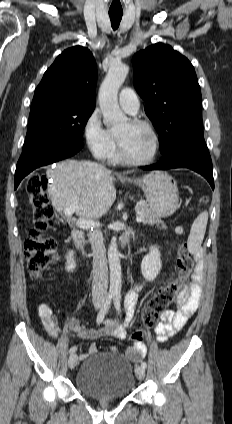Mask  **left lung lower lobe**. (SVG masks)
Segmentation results:
<instances>
[{"label": "left lung lower lobe", "instance_id": "obj_1", "mask_svg": "<svg viewBox=\"0 0 232 424\" xmlns=\"http://www.w3.org/2000/svg\"><path fill=\"white\" fill-rule=\"evenodd\" d=\"M162 159L147 170H166L171 168H189L204 176L214 189L212 161L207 149L202 127L182 133L172 141Z\"/></svg>", "mask_w": 232, "mask_h": 424}]
</instances>
